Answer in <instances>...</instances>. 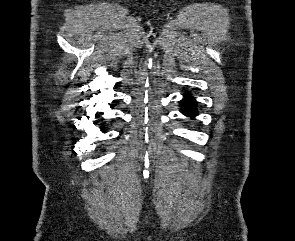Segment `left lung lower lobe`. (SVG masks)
Here are the masks:
<instances>
[{
    "mask_svg": "<svg viewBox=\"0 0 295 241\" xmlns=\"http://www.w3.org/2000/svg\"><path fill=\"white\" fill-rule=\"evenodd\" d=\"M180 104L182 106L181 112L184 115L194 117L198 114L196 110V101L190 93L185 94V97L180 101Z\"/></svg>",
    "mask_w": 295,
    "mask_h": 241,
    "instance_id": "1",
    "label": "left lung lower lobe"
}]
</instances>
